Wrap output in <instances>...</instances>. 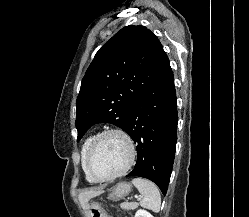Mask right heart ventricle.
<instances>
[{"label":"right heart ventricle","instance_id":"e07e8e85","mask_svg":"<svg viewBox=\"0 0 249 217\" xmlns=\"http://www.w3.org/2000/svg\"><path fill=\"white\" fill-rule=\"evenodd\" d=\"M95 137L94 134H91L89 136H87L85 138V140L83 141L82 143V146H81V151H80V155H81V167L85 173V176H86V179L89 181V182H94L90 176L87 174L86 172V169H85V156H86V153L88 151V148H89V145L91 143V141L93 140V138Z\"/></svg>","mask_w":249,"mask_h":217}]
</instances>
